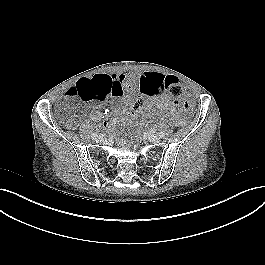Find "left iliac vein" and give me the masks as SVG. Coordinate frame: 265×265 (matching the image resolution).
I'll return each mask as SVG.
<instances>
[{
    "mask_svg": "<svg viewBox=\"0 0 265 265\" xmlns=\"http://www.w3.org/2000/svg\"><path fill=\"white\" fill-rule=\"evenodd\" d=\"M147 139L150 141V142H153V143H157L160 141V137L156 134H151V133H148L147 134Z\"/></svg>",
    "mask_w": 265,
    "mask_h": 265,
    "instance_id": "left-iliac-vein-1",
    "label": "left iliac vein"
}]
</instances>
